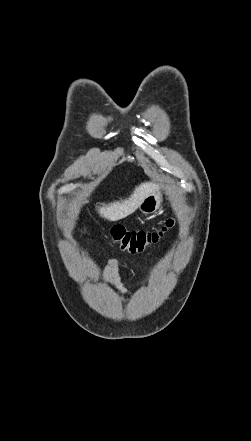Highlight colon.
<instances>
[{
  "label": "colon",
  "instance_id": "1",
  "mask_svg": "<svg viewBox=\"0 0 251 441\" xmlns=\"http://www.w3.org/2000/svg\"><path fill=\"white\" fill-rule=\"evenodd\" d=\"M174 226L173 219H167L161 228L146 230H127L121 225H115L110 230L111 239L121 250L129 253L143 252L147 247L158 243L165 233Z\"/></svg>",
  "mask_w": 251,
  "mask_h": 441
}]
</instances>
